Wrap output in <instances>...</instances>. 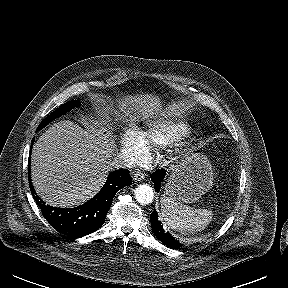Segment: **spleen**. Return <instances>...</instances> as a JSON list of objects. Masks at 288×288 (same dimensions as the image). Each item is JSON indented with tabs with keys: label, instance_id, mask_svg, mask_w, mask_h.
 Instances as JSON below:
<instances>
[{
	"label": "spleen",
	"instance_id": "obj_1",
	"mask_svg": "<svg viewBox=\"0 0 288 288\" xmlns=\"http://www.w3.org/2000/svg\"><path fill=\"white\" fill-rule=\"evenodd\" d=\"M161 216L171 229L187 235L204 230L212 220V211L195 209L172 198L163 197Z\"/></svg>",
	"mask_w": 288,
	"mask_h": 288
}]
</instances>
